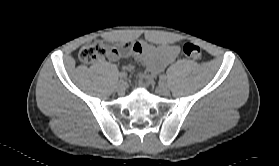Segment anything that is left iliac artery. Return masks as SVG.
Returning a JSON list of instances; mask_svg holds the SVG:
<instances>
[{"label": "left iliac artery", "instance_id": "1", "mask_svg": "<svg viewBox=\"0 0 279 166\" xmlns=\"http://www.w3.org/2000/svg\"><path fill=\"white\" fill-rule=\"evenodd\" d=\"M166 79H167L166 75L161 76V80L166 81Z\"/></svg>", "mask_w": 279, "mask_h": 166}]
</instances>
